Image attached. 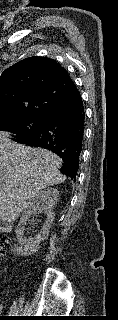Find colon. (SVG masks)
Instances as JSON below:
<instances>
[{"mask_svg": "<svg viewBox=\"0 0 118 320\" xmlns=\"http://www.w3.org/2000/svg\"><path fill=\"white\" fill-rule=\"evenodd\" d=\"M9 244L10 239L8 237L0 236V258L6 254Z\"/></svg>", "mask_w": 118, "mask_h": 320, "instance_id": "obj_1", "label": "colon"}]
</instances>
